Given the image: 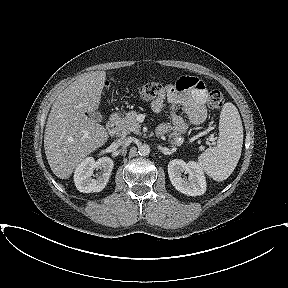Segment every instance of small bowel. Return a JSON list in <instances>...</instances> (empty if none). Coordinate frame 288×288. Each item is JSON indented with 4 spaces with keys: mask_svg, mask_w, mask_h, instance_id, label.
I'll return each mask as SVG.
<instances>
[{
    "mask_svg": "<svg viewBox=\"0 0 288 288\" xmlns=\"http://www.w3.org/2000/svg\"><path fill=\"white\" fill-rule=\"evenodd\" d=\"M207 97L208 92L202 81L188 76L179 78L168 93L159 96L151 103L156 113L163 110L165 102L170 104L172 126L163 124L159 127V132L163 134L172 129L179 132L187 130L188 122L178 114L179 111L187 115L192 125H201L207 116Z\"/></svg>",
    "mask_w": 288,
    "mask_h": 288,
    "instance_id": "obj_1",
    "label": "small bowel"
}]
</instances>
